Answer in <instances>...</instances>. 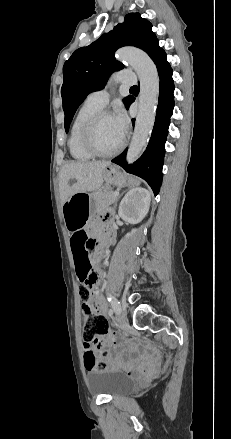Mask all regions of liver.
Wrapping results in <instances>:
<instances>
[{"instance_id":"1","label":"liver","mask_w":231,"mask_h":439,"mask_svg":"<svg viewBox=\"0 0 231 439\" xmlns=\"http://www.w3.org/2000/svg\"><path fill=\"white\" fill-rule=\"evenodd\" d=\"M110 166L108 161L66 163L59 174V192L61 205L75 193L92 192L99 189L103 184V171ZM70 179H75L72 185Z\"/></svg>"}]
</instances>
